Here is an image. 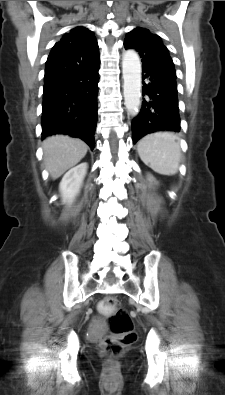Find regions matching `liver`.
Segmentation results:
<instances>
[{
    "label": "liver",
    "instance_id": "6515ba94",
    "mask_svg": "<svg viewBox=\"0 0 225 395\" xmlns=\"http://www.w3.org/2000/svg\"><path fill=\"white\" fill-rule=\"evenodd\" d=\"M87 144L77 138L56 135L43 141V160L53 179L59 178L68 169L78 164L86 155Z\"/></svg>",
    "mask_w": 225,
    "mask_h": 395
}]
</instances>
